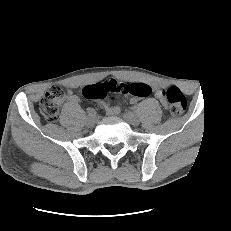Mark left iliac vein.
Here are the masks:
<instances>
[{"instance_id":"obj_1","label":"left iliac vein","mask_w":231,"mask_h":231,"mask_svg":"<svg viewBox=\"0 0 231 231\" xmlns=\"http://www.w3.org/2000/svg\"><path fill=\"white\" fill-rule=\"evenodd\" d=\"M124 119L133 126L139 125V118L132 112H127L123 115Z\"/></svg>"}]
</instances>
